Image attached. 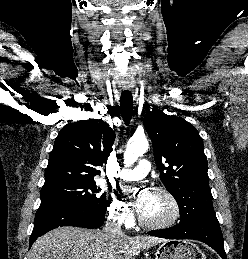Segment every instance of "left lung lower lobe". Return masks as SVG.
<instances>
[{
	"label": "left lung lower lobe",
	"mask_w": 248,
	"mask_h": 259,
	"mask_svg": "<svg viewBox=\"0 0 248 259\" xmlns=\"http://www.w3.org/2000/svg\"><path fill=\"white\" fill-rule=\"evenodd\" d=\"M148 234L167 239H195L212 247L222 259H227L222 232L215 215L194 218L171 228L149 231Z\"/></svg>",
	"instance_id": "1"
}]
</instances>
